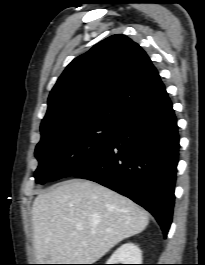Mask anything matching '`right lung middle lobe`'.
<instances>
[{
  "instance_id": "1",
  "label": "right lung middle lobe",
  "mask_w": 205,
  "mask_h": 265,
  "mask_svg": "<svg viewBox=\"0 0 205 265\" xmlns=\"http://www.w3.org/2000/svg\"><path fill=\"white\" fill-rule=\"evenodd\" d=\"M118 123L96 122L66 132H41L35 149L36 183L74 175L87 166L115 137Z\"/></svg>"
}]
</instances>
